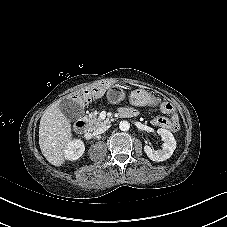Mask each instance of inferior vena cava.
Listing matches in <instances>:
<instances>
[{"label": "inferior vena cava", "instance_id": "1", "mask_svg": "<svg viewBox=\"0 0 227 227\" xmlns=\"http://www.w3.org/2000/svg\"><path fill=\"white\" fill-rule=\"evenodd\" d=\"M109 129V126L108 125H103V126H100L98 127L95 131H94V134L95 135H99V134H102L104 133L106 130Z\"/></svg>", "mask_w": 227, "mask_h": 227}]
</instances>
